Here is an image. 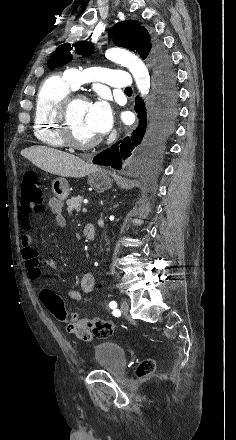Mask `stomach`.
<instances>
[{"label":"stomach","mask_w":236,"mask_h":440,"mask_svg":"<svg viewBox=\"0 0 236 440\" xmlns=\"http://www.w3.org/2000/svg\"><path fill=\"white\" fill-rule=\"evenodd\" d=\"M88 184L97 192L102 193L112 186V180L108 172L97 168L88 175ZM52 191L61 201L69 196V184L64 178H56L52 181Z\"/></svg>","instance_id":"stomach-1"}]
</instances>
